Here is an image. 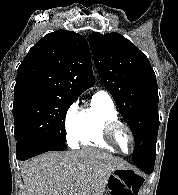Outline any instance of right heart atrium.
<instances>
[{"label": "right heart atrium", "instance_id": "d8ad5b80", "mask_svg": "<svg viewBox=\"0 0 178 195\" xmlns=\"http://www.w3.org/2000/svg\"><path fill=\"white\" fill-rule=\"evenodd\" d=\"M82 122V111L79 101H74L66 110L64 116V126L68 144L76 147L80 137Z\"/></svg>", "mask_w": 178, "mask_h": 195}]
</instances>
